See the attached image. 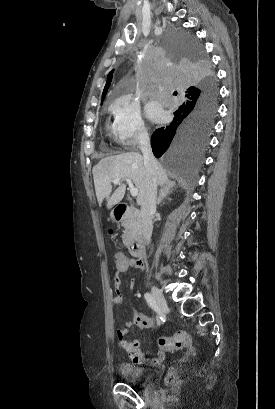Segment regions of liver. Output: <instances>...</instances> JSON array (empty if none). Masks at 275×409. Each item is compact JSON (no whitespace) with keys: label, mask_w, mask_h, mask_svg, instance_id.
I'll return each mask as SVG.
<instances>
[{"label":"liver","mask_w":275,"mask_h":409,"mask_svg":"<svg viewBox=\"0 0 275 409\" xmlns=\"http://www.w3.org/2000/svg\"><path fill=\"white\" fill-rule=\"evenodd\" d=\"M156 170L157 182L160 186L162 184H173L160 162H156ZM92 172L99 207L106 198L107 209H112L114 205H117V202L122 200L125 194L126 184H120L110 196L113 178H132L136 188H138L137 202L138 205H141L146 192V168L144 158L140 152H123V154L101 158L98 164L93 166Z\"/></svg>","instance_id":"obj_1"}]
</instances>
